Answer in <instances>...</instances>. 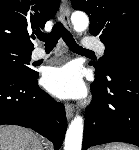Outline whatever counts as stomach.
Returning a JSON list of instances; mask_svg holds the SVG:
<instances>
[{
  "mask_svg": "<svg viewBox=\"0 0 139 150\" xmlns=\"http://www.w3.org/2000/svg\"><path fill=\"white\" fill-rule=\"evenodd\" d=\"M96 150H105V149H96Z\"/></svg>",
  "mask_w": 139,
  "mask_h": 150,
  "instance_id": "obj_1",
  "label": "stomach"
}]
</instances>
